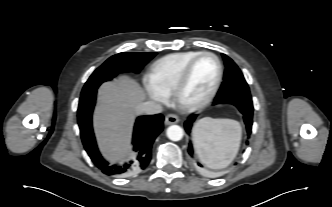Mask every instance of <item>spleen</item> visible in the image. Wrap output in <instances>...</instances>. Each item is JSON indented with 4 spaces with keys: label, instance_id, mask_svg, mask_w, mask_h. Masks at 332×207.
<instances>
[{
    "label": "spleen",
    "instance_id": "obj_1",
    "mask_svg": "<svg viewBox=\"0 0 332 207\" xmlns=\"http://www.w3.org/2000/svg\"><path fill=\"white\" fill-rule=\"evenodd\" d=\"M241 126L232 119H201L193 129V141L200 161L212 169L227 167L236 157Z\"/></svg>",
    "mask_w": 332,
    "mask_h": 207
}]
</instances>
